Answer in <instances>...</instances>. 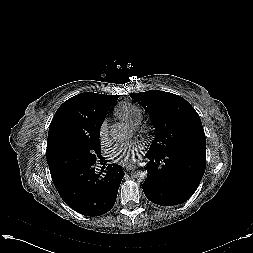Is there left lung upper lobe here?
I'll return each mask as SVG.
<instances>
[{"label": "left lung upper lobe", "instance_id": "1", "mask_svg": "<svg viewBox=\"0 0 253 253\" xmlns=\"http://www.w3.org/2000/svg\"><path fill=\"white\" fill-rule=\"evenodd\" d=\"M150 115L155 138L150 153L163 154L180 148L206 150V138L198 113L182 97L160 90L130 95Z\"/></svg>", "mask_w": 253, "mask_h": 253}]
</instances>
